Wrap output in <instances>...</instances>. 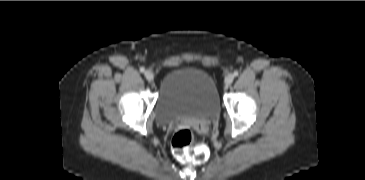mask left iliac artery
<instances>
[{"mask_svg":"<svg viewBox=\"0 0 365 180\" xmlns=\"http://www.w3.org/2000/svg\"><path fill=\"white\" fill-rule=\"evenodd\" d=\"M233 74H234V76H238L239 73H238V71H234Z\"/></svg>","mask_w":365,"mask_h":180,"instance_id":"left-iliac-artery-1","label":"left iliac artery"}]
</instances>
